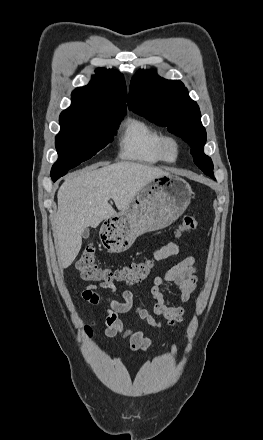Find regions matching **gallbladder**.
Listing matches in <instances>:
<instances>
[{
	"instance_id": "bac80fb5",
	"label": "gallbladder",
	"mask_w": 263,
	"mask_h": 440,
	"mask_svg": "<svg viewBox=\"0 0 263 440\" xmlns=\"http://www.w3.org/2000/svg\"><path fill=\"white\" fill-rule=\"evenodd\" d=\"M89 234H90L89 229H88V228H85L84 231H83V233H82V237H83V238H88V237H89Z\"/></svg>"
}]
</instances>
